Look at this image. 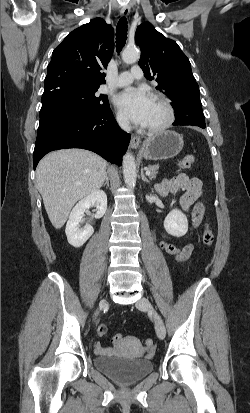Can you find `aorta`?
<instances>
[{
  "instance_id": "1",
  "label": "aorta",
  "mask_w": 250,
  "mask_h": 413,
  "mask_svg": "<svg viewBox=\"0 0 250 413\" xmlns=\"http://www.w3.org/2000/svg\"><path fill=\"white\" fill-rule=\"evenodd\" d=\"M139 59V51L135 48H127L122 53V60L127 64L135 63ZM124 181L129 188H134L136 184V164L134 156L126 153L123 157Z\"/></svg>"
}]
</instances>
